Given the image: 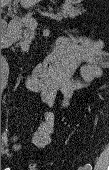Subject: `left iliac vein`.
Returning <instances> with one entry per match:
<instances>
[{
    "instance_id": "obj_1",
    "label": "left iliac vein",
    "mask_w": 109,
    "mask_h": 170,
    "mask_svg": "<svg viewBox=\"0 0 109 170\" xmlns=\"http://www.w3.org/2000/svg\"><path fill=\"white\" fill-rule=\"evenodd\" d=\"M78 170H82V168H81V167H79V168H78Z\"/></svg>"
}]
</instances>
